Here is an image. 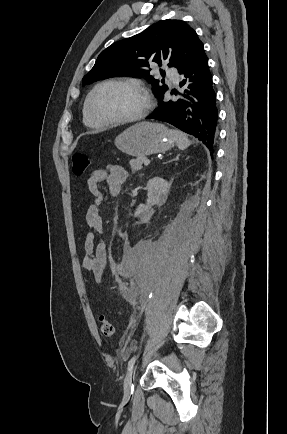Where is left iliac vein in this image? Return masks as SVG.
<instances>
[{
	"label": "left iliac vein",
	"instance_id": "left-iliac-vein-1",
	"mask_svg": "<svg viewBox=\"0 0 287 434\" xmlns=\"http://www.w3.org/2000/svg\"><path fill=\"white\" fill-rule=\"evenodd\" d=\"M132 385H133V370L128 371L124 381V392L126 396L131 393Z\"/></svg>",
	"mask_w": 287,
	"mask_h": 434
}]
</instances>
